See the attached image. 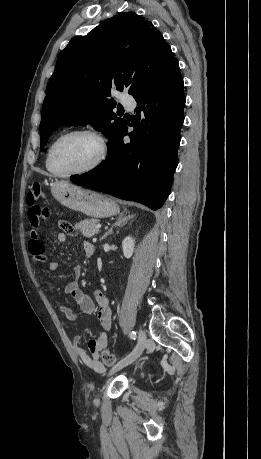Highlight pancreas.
<instances>
[{
  "label": "pancreas",
  "mask_w": 261,
  "mask_h": 459,
  "mask_svg": "<svg viewBox=\"0 0 261 459\" xmlns=\"http://www.w3.org/2000/svg\"><path fill=\"white\" fill-rule=\"evenodd\" d=\"M98 223V219H86L76 224V228L80 229L84 237L90 238L99 233V229L96 227Z\"/></svg>",
  "instance_id": "obj_1"
}]
</instances>
